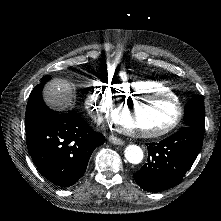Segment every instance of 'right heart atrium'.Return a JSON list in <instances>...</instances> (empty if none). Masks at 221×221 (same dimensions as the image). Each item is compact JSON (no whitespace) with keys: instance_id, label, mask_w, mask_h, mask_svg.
<instances>
[{"instance_id":"1","label":"right heart atrium","mask_w":221,"mask_h":221,"mask_svg":"<svg viewBox=\"0 0 221 221\" xmlns=\"http://www.w3.org/2000/svg\"><path fill=\"white\" fill-rule=\"evenodd\" d=\"M114 98L111 94L110 82H101L93 87L87 94L86 103L95 112L105 111L112 104Z\"/></svg>"}]
</instances>
